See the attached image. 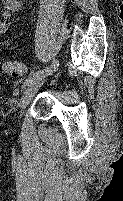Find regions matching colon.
<instances>
[{
	"instance_id": "1",
	"label": "colon",
	"mask_w": 123,
	"mask_h": 201,
	"mask_svg": "<svg viewBox=\"0 0 123 201\" xmlns=\"http://www.w3.org/2000/svg\"><path fill=\"white\" fill-rule=\"evenodd\" d=\"M3 72L10 76H20L24 73V66L17 60H8L0 63Z\"/></svg>"
}]
</instances>
